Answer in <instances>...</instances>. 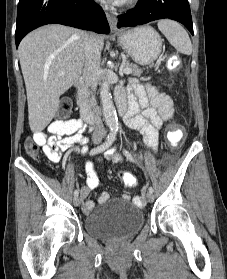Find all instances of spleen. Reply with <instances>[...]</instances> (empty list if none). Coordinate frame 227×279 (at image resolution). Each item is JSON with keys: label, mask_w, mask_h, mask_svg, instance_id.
<instances>
[{"label": "spleen", "mask_w": 227, "mask_h": 279, "mask_svg": "<svg viewBox=\"0 0 227 279\" xmlns=\"http://www.w3.org/2000/svg\"><path fill=\"white\" fill-rule=\"evenodd\" d=\"M157 26L177 51L186 55L192 53L191 40L179 23L165 19L158 21Z\"/></svg>", "instance_id": "spleen-1"}]
</instances>
